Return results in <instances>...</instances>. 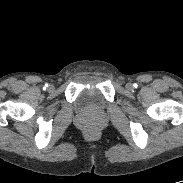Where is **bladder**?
<instances>
[{"mask_svg":"<svg viewBox=\"0 0 183 183\" xmlns=\"http://www.w3.org/2000/svg\"><path fill=\"white\" fill-rule=\"evenodd\" d=\"M81 88L76 98L80 108H100L103 105V96L100 86L102 79L98 75L82 74L78 77Z\"/></svg>","mask_w":183,"mask_h":183,"instance_id":"bladder-1","label":"bladder"}]
</instances>
